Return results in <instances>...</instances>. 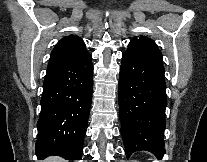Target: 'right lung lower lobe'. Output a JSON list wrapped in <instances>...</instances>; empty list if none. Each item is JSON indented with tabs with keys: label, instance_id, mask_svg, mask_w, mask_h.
<instances>
[{
	"label": "right lung lower lobe",
	"instance_id": "obj_1",
	"mask_svg": "<svg viewBox=\"0 0 207 162\" xmlns=\"http://www.w3.org/2000/svg\"><path fill=\"white\" fill-rule=\"evenodd\" d=\"M93 89L92 57L50 69L43 83L35 152L81 160Z\"/></svg>",
	"mask_w": 207,
	"mask_h": 162
}]
</instances>
